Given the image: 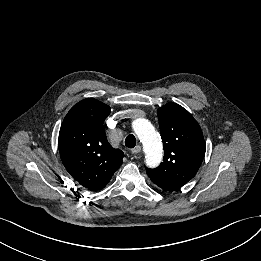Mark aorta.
Here are the masks:
<instances>
[{
  "label": "aorta",
  "instance_id": "762f6f07",
  "mask_svg": "<svg viewBox=\"0 0 261 261\" xmlns=\"http://www.w3.org/2000/svg\"><path fill=\"white\" fill-rule=\"evenodd\" d=\"M133 129L143 144L147 166L157 167L163 157V145L159 134L151 123L143 118L133 122Z\"/></svg>",
  "mask_w": 261,
  "mask_h": 261
}]
</instances>
